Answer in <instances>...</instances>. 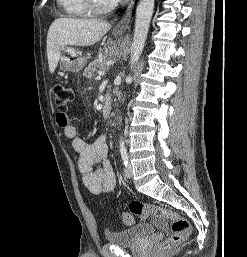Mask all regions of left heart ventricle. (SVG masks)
<instances>
[{
	"mask_svg": "<svg viewBox=\"0 0 247 257\" xmlns=\"http://www.w3.org/2000/svg\"><path fill=\"white\" fill-rule=\"evenodd\" d=\"M110 1H112V0H98V2L101 3V4H106Z\"/></svg>",
	"mask_w": 247,
	"mask_h": 257,
	"instance_id": "1",
	"label": "left heart ventricle"
}]
</instances>
